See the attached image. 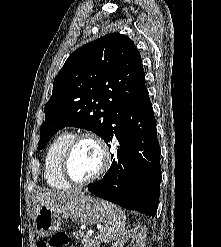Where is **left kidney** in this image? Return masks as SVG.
<instances>
[{
    "mask_svg": "<svg viewBox=\"0 0 221 247\" xmlns=\"http://www.w3.org/2000/svg\"><path fill=\"white\" fill-rule=\"evenodd\" d=\"M146 236H147V230L143 226H137L133 228L132 230H129L128 232L124 233L123 236H121L118 239L117 247L118 245L120 247H123V245L126 243L128 239L135 240V244L133 247H145L146 243Z\"/></svg>",
    "mask_w": 221,
    "mask_h": 247,
    "instance_id": "left-kidney-1",
    "label": "left kidney"
}]
</instances>
